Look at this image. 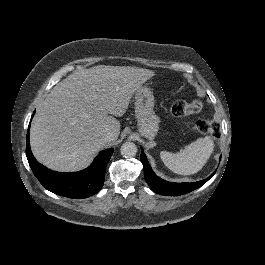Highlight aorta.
I'll return each mask as SVG.
<instances>
[{"label": "aorta", "instance_id": "obj_1", "mask_svg": "<svg viewBox=\"0 0 265 265\" xmlns=\"http://www.w3.org/2000/svg\"><path fill=\"white\" fill-rule=\"evenodd\" d=\"M121 154L124 157L132 158L137 154V145L133 142H125L121 146Z\"/></svg>", "mask_w": 265, "mask_h": 265}]
</instances>
